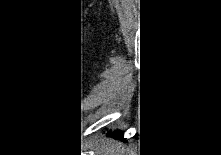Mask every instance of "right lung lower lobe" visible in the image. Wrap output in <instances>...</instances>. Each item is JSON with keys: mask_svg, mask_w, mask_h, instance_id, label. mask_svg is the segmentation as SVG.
<instances>
[{"mask_svg": "<svg viewBox=\"0 0 221 155\" xmlns=\"http://www.w3.org/2000/svg\"><path fill=\"white\" fill-rule=\"evenodd\" d=\"M108 136H112V137H114V138H121L122 140H124V141H126L127 142V140L124 138V133L123 132H121V131H118V132H116V133H108Z\"/></svg>", "mask_w": 221, "mask_h": 155, "instance_id": "obj_1", "label": "right lung lower lobe"}]
</instances>
